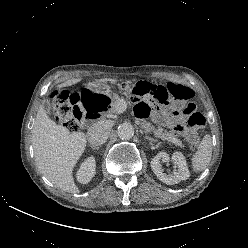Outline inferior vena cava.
I'll return each mask as SVG.
<instances>
[{"label": "inferior vena cava", "mask_w": 248, "mask_h": 248, "mask_svg": "<svg viewBox=\"0 0 248 248\" xmlns=\"http://www.w3.org/2000/svg\"><path fill=\"white\" fill-rule=\"evenodd\" d=\"M111 124L108 121H99L91 126L87 132V138L91 145H102L108 139Z\"/></svg>", "instance_id": "602c4592"}]
</instances>
